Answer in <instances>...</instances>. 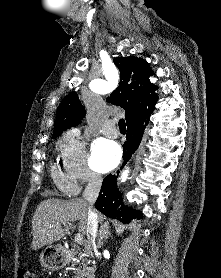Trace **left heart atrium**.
Here are the masks:
<instances>
[{"mask_svg": "<svg viewBox=\"0 0 221 278\" xmlns=\"http://www.w3.org/2000/svg\"><path fill=\"white\" fill-rule=\"evenodd\" d=\"M121 159V148L115 141L99 138L92 145L93 167L102 173L112 170Z\"/></svg>", "mask_w": 221, "mask_h": 278, "instance_id": "1", "label": "left heart atrium"}]
</instances>
